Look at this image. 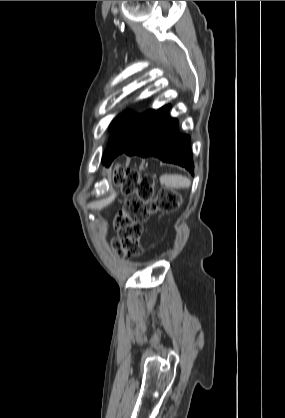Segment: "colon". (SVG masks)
Instances as JSON below:
<instances>
[{
	"label": "colon",
	"mask_w": 285,
	"mask_h": 418,
	"mask_svg": "<svg viewBox=\"0 0 285 418\" xmlns=\"http://www.w3.org/2000/svg\"><path fill=\"white\" fill-rule=\"evenodd\" d=\"M113 176L130 198L115 218L114 227L117 236L112 240V250L119 255L139 257L142 254L140 238L143 222L157 211H175L181 197L179 193L169 188L155 195L152 177L147 175L139 177L118 170Z\"/></svg>",
	"instance_id": "1"
}]
</instances>
